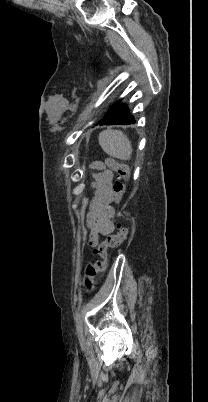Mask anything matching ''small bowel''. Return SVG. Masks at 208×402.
Wrapping results in <instances>:
<instances>
[{"label": "small bowel", "mask_w": 208, "mask_h": 402, "mask_svg": "<svg viewBox=\"0 0 208 402\" xmlns=\"http://www.w3.org/2000/svg\"><path fill=\"white\" fill-rule=\"evenodd\" d=\"M93 167L99 172L94 175V195L86 221L88 244L92 247L98 244L101 236H108L116 229L115 212L111 206L114 173L100 162L94 163Z\"/></svg>", "instance_id": "c3829d8e"}]
</instances>
